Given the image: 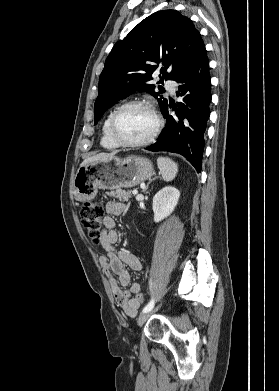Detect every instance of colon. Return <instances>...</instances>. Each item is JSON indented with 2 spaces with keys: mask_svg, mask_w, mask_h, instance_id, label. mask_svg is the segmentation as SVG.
<instances>
[{
  "mask_svg": "<svg viewBox=\"0 0 279 391\" xmlns=\"http://www.w3.org/2000/svg\"><path fill=\"white\" fill-rule=\"evenodd\" d=\"M104 209L97 202H88L82 206L81 221L89 237L95 243H99L103 229ZM138 304L144 303V295L139 293L136 296Z\"/></svg>",
  "mask_w": 279,
  "mask_h": 391,
  "instance_id": "1",
  "label": "colon"
}]
</instances>
